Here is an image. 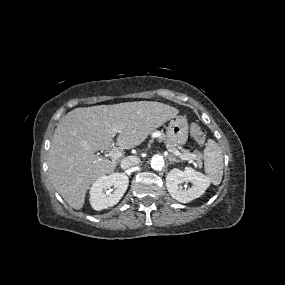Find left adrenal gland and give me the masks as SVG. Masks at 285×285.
<instances>
[{
    "instance_id": "1",
    "label": "left adrenal gland",
    "mask_w": 285,
    "mask_h": 285,
    "mask_svg": "<svg viewBox=\"0 0 285 285\" xmlns=\"http://www.w3.org/2000/svg\"><path fill=\"white\" fill-rule=\"evenodd\" d=\"M168 158H169V161H170V164L171 163H174V162H180V160H178L175 156L173 155H168Z\"/></svg>"
}]
</instances>
